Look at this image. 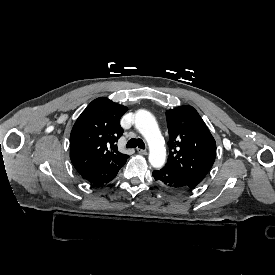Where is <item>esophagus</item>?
<instances>
[{
    "mask_svg": "<svg viewBox=\"0 0 275 275\" xmlns=\"http://www.w3.org/2000/svg\"><path fill=\"white\" fill-rule=\"evenodd\" d=\"M137 151H138V153H140V154H142V155H147V151H146V150L137 148Z\"/></svg>",
    "mask_w": 275,
    "mask_h": 275,
    "instance_id": "obj_1",
    "label": "esophagus"
}]
</instances>
